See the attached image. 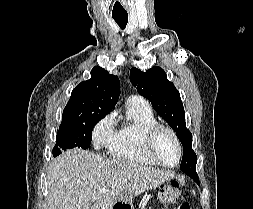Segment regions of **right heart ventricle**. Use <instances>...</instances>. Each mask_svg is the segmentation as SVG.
<instances>
[{
	"instance_id": "obj_1",
	"label": "right heart ventricle",
	"mask_w": 253,
	"mask_h": 209,
	"mask_svg": "<svg viewBox=\"0 0 253 209\" xmlns=\"http://www.w3.org/2000/svg\"><path fill=\"white\" fill-rule=\"evenodd\" d=\"M158 123L153 110L145 100H132L127 103V122L116 132L111 154L120 160L152 166L143 151L146 130Z\"/></svg>"
}]
</instances>
